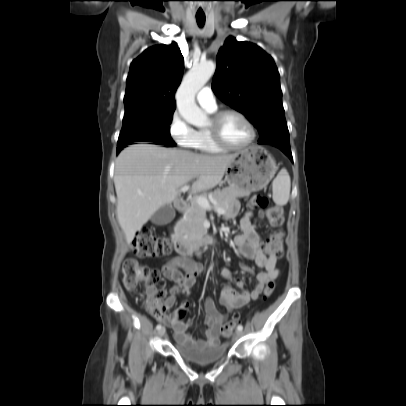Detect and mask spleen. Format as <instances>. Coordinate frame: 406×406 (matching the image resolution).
Instances as JSON below:
<instances>
[{
  "label": "spleen",
  "mask_w": 406,
  "mask_h": 406,
  "mask_svg": "<svg viewBox=\"0 0 406 406\" xmlns=\"http://www.w3.org/2000/svg\"><path fill=\"white\" fill-rule=\"evenodd\" d=\"M291 180L286 169H282L272 183L273 201L280 206L287 204L290 196Z\"/></svg>",
  "instance_id": "1"
}]
</instances>
